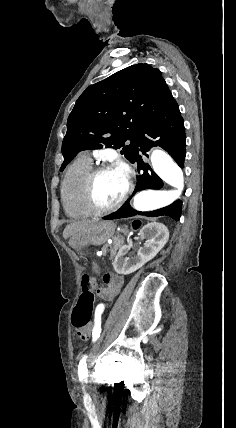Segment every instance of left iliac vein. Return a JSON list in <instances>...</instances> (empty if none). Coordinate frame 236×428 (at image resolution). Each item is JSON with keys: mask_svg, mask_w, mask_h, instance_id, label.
<instances>
[{"mask_svg": "<svg viewBox=\"0 0 236 428\" xmlns=\"http://www.w3.org/2000/svg\"><path fill=\"white\" fill-rule=\"evenodd\" d=\"M97 354H100V351H97V353H94V356H97Z\"/></svg>", "mask_w": 236, "mask_h": 428, "instance_id": "left-iliac-vein-1", "label": "left iliac vein"}]
</instances>
